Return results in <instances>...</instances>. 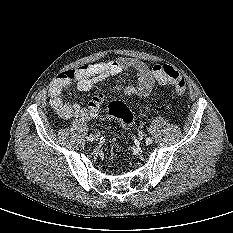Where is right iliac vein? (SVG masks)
Wrapping results in <instances>:
<instances>
[{
  "label": "right iliac vein",
  "instance_id": "right-iliac-vein-1",
  "mask_svg": "<svg viewBox=\"0 0 233 233\" xmlns=\"http://www.w3.org/2000/svg\"><path fill=\"white\" fill-rule=\"evenodd\" d=\"M99 135L98 134H96L95 136H94V139L96 140V141H98L99 140Z\"/></svg>",
  "mask_w": 233,
  "mask_h": 233
}]
</instances>
